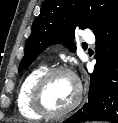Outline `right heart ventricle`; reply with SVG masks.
I'll list each match as a JSON object with an SVG mask.
<instances>
[{"instance_id": "1", "label": "right heart ventricle", "mask_w": 118, "mask_h": 123, "mask_svg": "<svg viewBox=\"0 0 118 123\" xmlns=\"http://www.w3.org/2000/svg\"><path fill=\"white\" fill-rule=\"evenodd\" d=\"M46 70L45 65L35 67L27 73L19 86L16 103L20 114L24 118L39 120L43 117L33 109L31 96L36 81Z\"/></svg>"}]
</instances>
